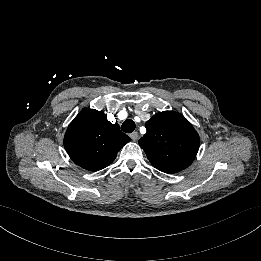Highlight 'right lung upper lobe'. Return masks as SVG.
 I'll list each match as a JSON object with an SVG mask.
<instances>
[{
  "label": "right lung upper lobe",
  "mask_w": 261,
  "mask_h": 261,
  "mask_svg": "<svg viewBox=\"0 0 261 261\" xmlns=\"http://www.w3.org/2000/svg\"><path fill=\"white\" fill-rule=\"evenodd\" d=\"M129 141L118 124L107 120L104 112L84 109L68 126L64 146L77 165L97 171L111 164L118 151Z\"/></svg>",
  "instance_id": "cb5924a9"
}]
</instances>
